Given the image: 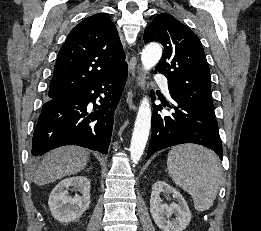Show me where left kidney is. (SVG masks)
Segmentation results:
<instances>
[{
	"mask_svg": "<svg viewBox=\"0 0 261 231\" xmlns=\"http://www.w3.org/2000/svg\"><path fill=\"white\" fill-rule=\"evenodd\" d=\"M161 193L172 194L177 203H162ZM150 212L156 225L163 231H182L191 220V212L183 196L165 181L154 183L150 198ZM174 215V218L171 216Z\"/></svg>",
	"mask_w": 261,
	"mask_h": 231,
	"instance_id": "1",
	"label": "left kidney"
}]
</instances>
